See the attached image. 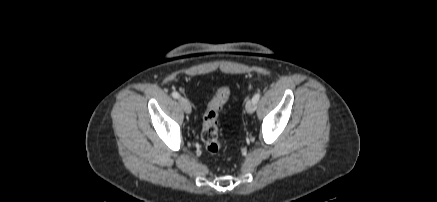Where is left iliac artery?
<instances>
[{"instance_id":"1","label":"left iliac artery","mask_w":437,"mask_h":202,"mask_svg":"<svg viewBox=\"0 0 437 202\" xmlns=\"http://www.w3.org/2000/svg\"><path fill=\"white\" fill-rule=\"evenodd\" d=\"M259 98H260V92L256 93V94L253 96L252 100H253L255 103H257L258 100H259Z\"/></svg>"}]
</instances>
